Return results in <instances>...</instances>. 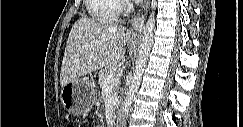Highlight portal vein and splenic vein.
Masks as SVG:
<instances>
[{"mask_svg":"<svg viewBox=\"0 0 243 127\" xmlns=\"http://www.w3.org/2000/svg\"><path fill=\"white\" fill-rule=\"evenodd\" d=\"M118 73V72H117ZM115 77H116V72H112L110 73L105 79L104 81L102 82V88H106L108 87L109 85H111L114 80H115Z\"/></svg>","mask_w":243,"mask_h":127,"instance_id":"18ae733b","label":"portal vein and splenic vein"}]
</instances>
